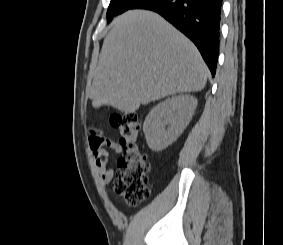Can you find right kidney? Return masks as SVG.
Instances as JSON below:
<instances>
[{"label": "right kidney", "instance_id": "obj_1", "mask_svg": "<svg viewBox=\"0 0 283 245\" xmlns=\"http://www.w3.org/2000/svg\"><path fill=\"white\" fill-rule=\"evenodd\" d=\"M197 103L191 95L173 96L158 103L143 124L148 146L161 151L172 144L191 121Z\"/></svg>", "mask_w": 283, "mask_h": 245}]
</instances>
